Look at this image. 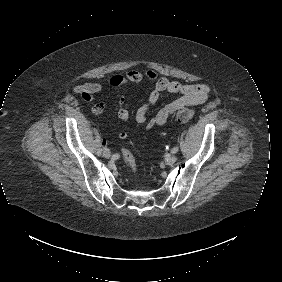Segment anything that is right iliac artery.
<instances>
[{"instance_id":"right-iliac-artery-1","label":"right iliac artery","mask_w":282,"mask_h":282,"mask_svg":"<svg viewBox=\"0 0 282 282\" xmlns=\"http://www.w3.org/2000/svg\"><path fill=\"white\" fill-rule=\"evenodd\" d=\"M98 154L101 155V151H98Z\"/></svg>"}]
</instances>
